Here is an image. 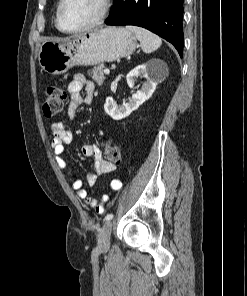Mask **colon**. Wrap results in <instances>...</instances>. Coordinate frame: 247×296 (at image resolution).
Masks as SVG:
<instances>
[{"instance_id":"colon-1","label":"colon","mask_w":247,"mask_h":296,"mask_svg":"<svg viewBox=\"0 0 247 296\" xmlns=\"http://www.w3.org/2000/svg\"><path fill=\"white\" fill-rule=\"evenodd\" d=\"M66 92L57 85H51L46 89L43 104L44 115L48 118L58 115L64 108ZM104 158L109 163L119 164L121 162V150L118 145L107 140L103 143Z\"/></svg>"}]
</instances>
